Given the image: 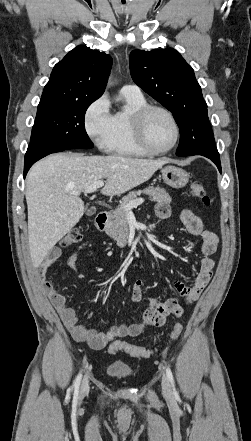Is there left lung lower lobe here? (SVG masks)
Masks as SVG:
<instances>
[{"label":"left lung lower lobe","mask_w":251,"mask_h":441,"mask_svg":"<svg viewBox=\"0 0 251 441\" xmlns=\"http://www.w3.org/2000/svg\"><path fill=\"white\" fill-rule=\"evenodd\" d=\"M177 156L202 155L215 163L221 172L220 157L217 151L210 122L200 121L180 132Z\"/></svg>","instance_id":"1"}]
</instances>
